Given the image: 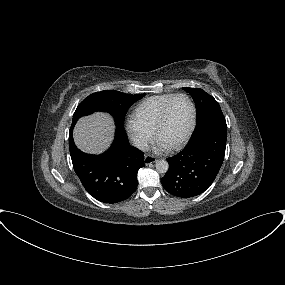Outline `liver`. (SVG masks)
<instances>
[{"label": "liver", "instance_id": "6515ba94", "mask_svg": "<svg viewBox=\"0 0 285 285\" xmlns=\"http://www.w3.org/2000/svg\"><path fill=\"white\" fill-rule=\"evenodd\" d=\"M112 118L103 113L81 118L74 129V141L79 149L91 154L104 152L113 139Z\"/></svg>", "mask_w": 285, "mask_h": 285}]
</instances>
